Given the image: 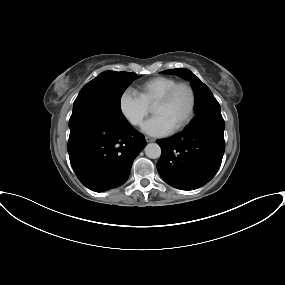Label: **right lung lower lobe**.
Wrapping results in <instances>:
<instances>
[{"label":"right lung lower lobe","mask_w":285,"mask_h":285,"mask_svg":"<svg viewBox=\"0 0 285 285\" xmlns=\"http://www.w3.org/2000/svg\"><path fill=\"white\" fill-rule=\"evenodd\" d=\"M145 146L144 136L128 122L89 118L70 127V163L80 182L95 192L124 183Z\"/></svg>","instance_id":"right-lung-lower-lobe-1"}]
</instances>
